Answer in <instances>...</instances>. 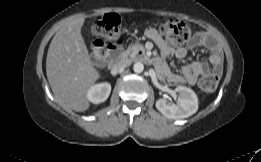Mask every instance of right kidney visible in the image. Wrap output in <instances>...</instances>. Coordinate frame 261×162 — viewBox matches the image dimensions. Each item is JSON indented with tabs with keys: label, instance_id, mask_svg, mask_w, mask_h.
<instances>
[{
	"label": "right kidney",
	"instance_id": "obj_1",
	"mask_svg": "<svg viewBox=\"0 0 261 162\" xmlns=\"http://www.w3.org/2000/svg\"><path fill=\"white\" fill-rule=\"evenodd\" d=\"M110 92V83L103 82L95 84L87 91V99L94 104H99L107 100Z\"/></svg>",
	"mask_w": 261,
	"mask_h": 162
}]
</instances>
